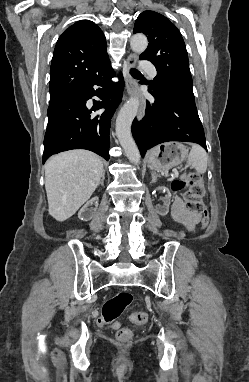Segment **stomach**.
I'll return each instance as SVG.
<instances>
[{
  "instance_id": "1",
  "label": "stomach",
  "mask_w": 249,
  "mask_h": 382,
  "mask_svg": "<svg viewBox=\"0 0 249 382\" xmlns=\"http://www.w3.org/2000/svg\"><path fill=\"white\" fill-rule=\"evenodd\" d=\"M187 148L179 142H167L148 152V166L155 171L166 172L184 162Z\"/></svg>"
}]
</instances>
